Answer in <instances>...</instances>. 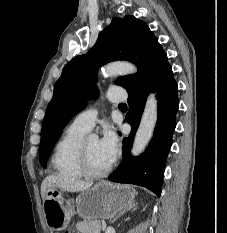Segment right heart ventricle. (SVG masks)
I'll return each mask as SVG.
<instances>
[{"label":"right heart ventricle","mask_w":227,"mask_h":233,"mask_svg":"<svg viewBox=\"0 0 227 233\" xmlns=\"http://www.w3.org/2000/svg\"><path fill=\"white\" fill-rule=\"evenodd\" d=\"M86 131L70 125L55 145L51 164L55 172L66 179L84 177L79 166V147Z\"/></svg>","instance_id":"1"}]
</instances>
